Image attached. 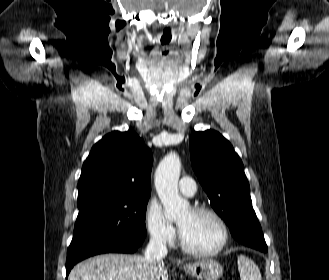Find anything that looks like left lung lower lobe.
I'll return each mask as SVG.
<instances>
[{"mask_svg": "<svg viewBox=\"0 0 329 280\" xmlns=\"http://www.w3.org/2000/svg\"><path fill=\"white\" fill-rule=\"evenodd\" d=\"M233 237L237 240L240 241L243 238H245L247 235H254V236H263L261 226L258 222V219L256 218L250 225L247 227H238L232 232ZM249 247L258 249L263 252H267L268 248L267 245H261V246H251L248 245Z\"/></svg>", "mask_w": 329, "mask_h": 280, "instance_id": "left-lung-lower-lobe-1", "label": "left lung lower lobe"}]
</instances>
